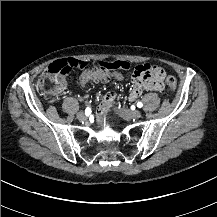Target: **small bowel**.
I'll use <instances>...</instances> for the list:
<instances>
[{
    "label": "small bowel",
    "mask_w": 217,
    "mask_h": 217,
    "mask_svg": "<svg viewBox=\"0 0 217 217\" xmlns=\"http://www.w3.org/2000/svg\"><path fill=\"white\" fill-rule=\"evenodd\" d=\"M58 78L63 79L64 88H65L66 79L62 76ZM112 79L122 80L124 79V75L119 70L109 71V70H103L100 67H95L90 73L81 74L79 78V83L81 86H84L89 81H92L95 83H98V82L106 83ZM141 92H142L141 86L139 85V83L136 82L128 94L129 101H135L140 96ZM116 97H117V94L114 91H109L105 93L98 105L99 111L100 112L106 111L113 104Z\"/></svg>",
    "instance_id": "small-bowel-1"
}]
</instances>
